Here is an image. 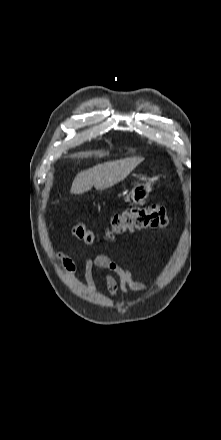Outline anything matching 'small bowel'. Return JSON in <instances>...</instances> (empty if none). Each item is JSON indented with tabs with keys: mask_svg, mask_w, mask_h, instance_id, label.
I'll list each match as a JSON object with an SVG mask.
<instances>
[{
	"mask_svg": "<svg viewBox=\"0 0 221 440\" xmlns=\"http://www.w3.org/2000/svg\"><path fill=\"white\" fill-rule=\"evenodd\" d=\"M61 262L65 272L71 276L76 273L75 262L63 252L55 253ZM103 274L104 283L110 297H115L119 290L123 292L147 290V285L141 281L134 280L129 269L122 268L117 262L107 255L98 254L84 260V279L87 287L94 291L96 289V271ZM120 278V281L116 279Z\"/></svg>",
	"mask_w": 221,
	"mask_h": 440,
	"instance_id": "c3829d8e",
	"label": "small bowel"
}]
</instances>
